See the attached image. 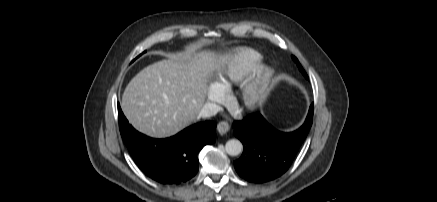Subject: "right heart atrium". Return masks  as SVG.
<instances>
[{
    "instance_id": "right-heart-atrium-1",
    "label": "right heart atrium",
    "mask_w": 437,
    "mask_h": 202,
    "mask_svg": "<svg viewBox=\"0 0 437 202\" xmlns=\"http://www.w3.org/2000/svg\"><path fill=\"white\" fill-rule=\"evenodd\" d=\"M208 99L213 103H221L225 99L224 90L216 84H212L208 89Z\"/></svg>"
}]
</instances>
